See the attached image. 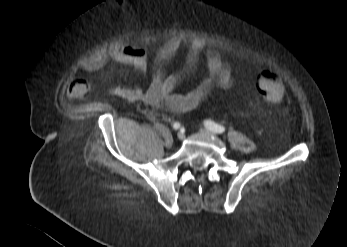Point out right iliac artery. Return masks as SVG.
<instances>
[{
	"label": "right iliac artery",
	"instance_id": "82829eb1",
	"mask_svg": "<svg viewBox=\"0 0 347 247\" xmlns=\"http://www.w3.org/2000/svg\"><path fill=\"white\" fill-rule=\"evenodd\" d=\"M180 128V123L179 122H175L174 124H173V129L174 130H177V129H179Z\"/></svg>",
	"mask_w": 347,
	"mask_h": 247
}]
</instances>
